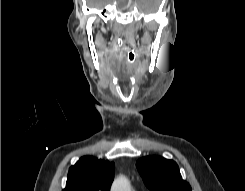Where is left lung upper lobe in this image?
Instances as JSON below:
<instances>
[{"label": "left lung upper lobe", "instance_id": "1", "mask_svg": "<svg viewBox=\"0 0 245 191\" xmlns=\"http://www.w3.org/2000/svg\"><path fill=\"white\" fill-rule=\"evenodd\" d=\"M136 166L151 191H191L190 185L182 179L179 167L173 160L161 156H147L139 159Z\"/></svg>", "mask_w": 245, "mask_h": 191}]
</instances>
